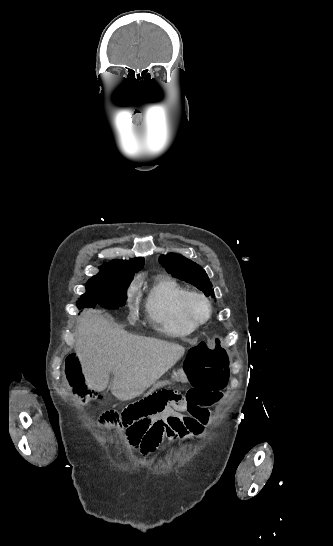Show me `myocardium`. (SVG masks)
I'll return each instance as SVG.
<instances>
[{"label": "myocardium", "mask_w": 333, "mask_h": 546, "mask_svg": "<svg viewBox=\"0 0 333 546\" xmlns=\"http://www.w3.org/2000/svg\"><path fill=\"white\" fill-rule=\"evenodd\" d=\"M202 304L206 308V315L199 317L195 312V306ZM183 312L186 318L195 326L205 324L212 315V305L210 300L202 293L189 292L183 301Z\"/></svg>", "instance_id": "f54148a6"}]
</instances>
